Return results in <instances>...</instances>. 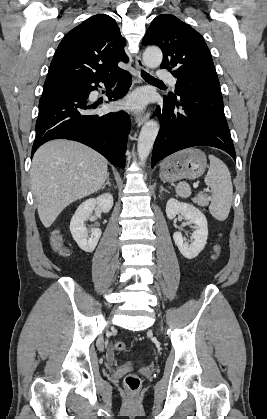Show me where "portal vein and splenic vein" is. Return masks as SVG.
I'll return each instance as SVG.
<instances>
[{
	"label": "portal vein and splenic vein",
	"instance_id": "18ae733b",
	"mask_svg": "<svg viewBox=\"0 0 267 419\" xmlns=\"http://www.w3.org/2000/svg\"><path fill=\"white\" fill-rule=\"evenodd\" d=\"M194 187H195V188H197V187H198V183H195V184H194Z\"/></svg>",
	"mask_w": 267,
	"mask_h": 419
}]
</instances>
